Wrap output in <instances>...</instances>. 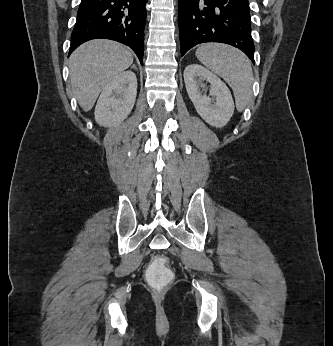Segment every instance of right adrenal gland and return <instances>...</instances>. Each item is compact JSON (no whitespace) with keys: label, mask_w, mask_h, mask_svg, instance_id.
Returning a JSON list of instances; mask_svg holds the SVG:
<instances>
[{"label":"right adrenal gland","mask_w":333,"mask_h":346,"mask_svg":"<svg viewBox=\"0 0 333 346\" xmlns=\"http://www.w3.org/2000/svg\"><path fill=\"white\" fill-rule=\"evenodd\" d=\"M132 68H135V69H136L135 65H133Z\"/></svg>","instance_id":"obj_1"}]
</instances>
